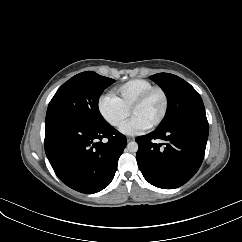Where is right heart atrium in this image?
<instances>
[{"label": "right heart atrium", "instance_id": "1", "mask_svg": "<svg viewBox=\"0 0 242 242\" xmlns=\"http://www.w3.org/2000/svg\"><path fill=\"white\" fill-rule=\"evenodd\" d=\"M97 107L101 117L114 128L121 127L130 115V110L110 95L101 97Z\"/></svg>", "mask_w": 242, "mask_h": 242}]
</instances>
